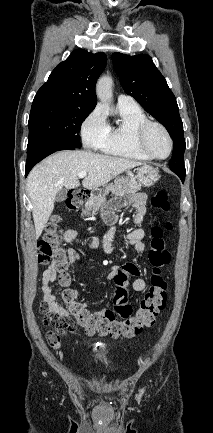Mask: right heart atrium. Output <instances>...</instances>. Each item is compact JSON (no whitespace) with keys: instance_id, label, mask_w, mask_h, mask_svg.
<instances>
[{"instance_id":"obj_1","label":"right heart atrium","mask_w":213,"mask_h":433,"mask_svg":"<svg viewBox=\"0 0 213 433\" xmlns=\"http://www.w3.org/2000/svg\"><path fill=\"white\" fill-rule=\"evenodd\" d=\"M108 129V123L103 110L94 108L81 124V137L87 148H99Z\"/></svg>"}]
</instances>
